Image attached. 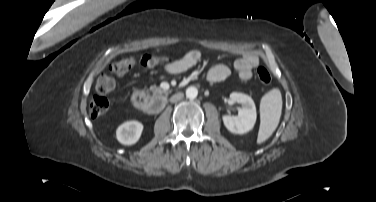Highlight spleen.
Returning a JSON list of instances; mask_svg holds the SVG:
<instances>
[{"label":"spleen","instance_id":"obj_1","mask_svg":"<svg viewBox=\"0 0 376 202\" xmlns=\"http://www.w3.org/2000/svg\"><path fill=\"white\" fill-rule=\"evenodd\" d=\"M282 110V98L279 89H273L265 94L260 103L261 123L257 143L268 139L276 129Z\"/></svg>","mask_w":376,"mask_h":202}]
</instances>
